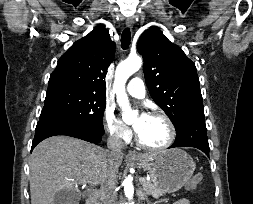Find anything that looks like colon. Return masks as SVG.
<instances>
[{"label":"colon","mask_w":253,"mask_h":204,"mask_svg":"<svg viewBox=\"0 0 253 204\" xmlns=\"http://www.w3.org/2000/svg\"><path fill=\"white\" fill-rule=\"evenodd\" d=\"M203 178H204L203 174H201V173L195 174V175L191 178L190 187H191V188H195V187L199 186V185L202 183Z\"/></svg>","instance_id":"obj_1"}]
</instances>
